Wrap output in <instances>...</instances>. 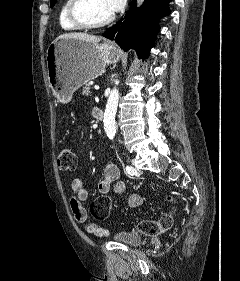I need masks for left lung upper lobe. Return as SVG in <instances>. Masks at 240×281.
Returning <instances> with one entry per match:
<instances>
[{"mask_svg": "<svg viewBox=\"0 0 240 281\" xmlns=\"http://www.w3.org/2000/svg\"><path fill=\"white\" fill-rule=\"evenodd\" d=\"M57 0H51V7L54 6V4L56 3Z\"/></svg>", "mask_w": 240, "mask_h": 281, "instance_id": "1", "label": "left lung upper lobe"}]
</instances>
